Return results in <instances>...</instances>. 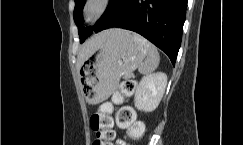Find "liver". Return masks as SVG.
Here are the masks:
<instances>
[{
  "label": "liver",
  "mask_w": 243,
  "mask_h": 145,
  "mask_svg": "<svg viewBox=\"0 0 243 145\" xmlns=\"http://www.w3.org/2000/svg\"><path fill=\"white\" fill-rule=\"evenodd\" d=\"M109 32L107 30L94 35L83 44L78 54V68L102 45Z\"/></svg>",
  "instance_id": "6515ba94"
}]
</instances>
